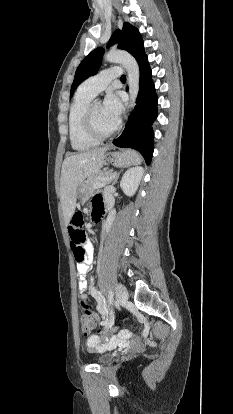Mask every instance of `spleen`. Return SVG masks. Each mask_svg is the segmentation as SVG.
Wrapping results in <instances>:
<instances>
[{
    "instance_id": "spleen-1",
    "label": "spleen",
    "mask_w": 233,
    "mask_h": 414,
    "mask_svg": "<svg viewBox=\"0 0 233 414\" xmlns=\"http://www.w3.org/2000/svg\"><path fill=\"white\" fill-rule=\"evenodd\" d=\"M126 152L129 154H132L135 157L134 162H133L134 165H138L141 163V158L138 153L132 150H127Z\"/></svg>"
}]
</instances>
